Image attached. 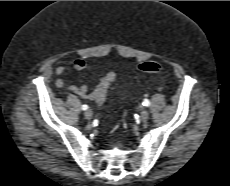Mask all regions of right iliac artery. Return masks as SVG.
Here are the masks:
<instances>
[{
  "instance_id": "82829eb1",
  "label": "right iliac artery",
  "mask_w": 230,
  "mask_h": 186,
  "mask_svg": "<svg viewBox=\"0 0 230 186\" xmlns=\"http://www.w3.org/2000/svg\"><path fill=\"white\" fill-rule=\"evenodd\" d=\"M88 109V106L87 105H83L82 106V110H87Z\"/></svg>"
}]
</instances>
